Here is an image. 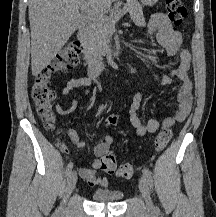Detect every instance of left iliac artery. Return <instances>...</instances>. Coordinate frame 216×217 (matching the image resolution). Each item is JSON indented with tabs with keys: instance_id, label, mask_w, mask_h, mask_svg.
Returning <instances> with one entry per match:
<instances>
[{
	"instance_id": "obj_1",
	"label": "left iliac artery",
	"mask_w": 216,
	"mask_h": 217,
	"mask_svg": "<svg viewBox=\"0 0 216 217\" xmlns=\"http://www.w3.org/2000/svg\"><path fill=\"white\" fill-rule=\"evenodd\" d=\"M142 172H143V174H144V176H145L148 184L152 187L153 180H152V173H151V171L148 168H144Z\"/></svg>"
}]
</instances>
